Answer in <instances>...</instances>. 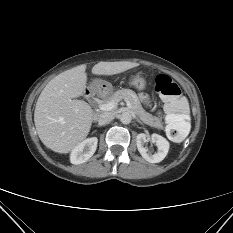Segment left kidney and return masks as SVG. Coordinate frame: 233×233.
I'll return each mask as SVG.
<instances>
[{
    "label": "left kidney",
    "mask_w": 233,
    "mask_h": 233,
    "mask_svg": "<svg viewBox=\"0 0 233 233\" xmlns=\"http://www.w3.org/2000/svg\"><path fill=\"white\" fill-rule=\"evenodd\" d=\"M149 138L144 133L138 134L136 137V144L139 153L141 156L150 163H159L161 162L167 155L169 151V142L162 136L158 134H152L150 141L155 143L157 146V152L152 154L148 151L144 145L148 142Z\"/></svg>",
    "instance_id": "obj_1"
}]
</instances>
